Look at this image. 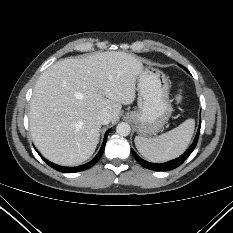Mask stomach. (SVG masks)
Segmentation results:
<instances>
[{"label": "stomach", "mask_w": 233, "mask_h": 233, "mask_svg": "<svg viewBox=\"0 0 233 233\" xmlns=\"http://www.w3.org/2000/svg\"><path fill=\"white\" fill-rule=\"evenodd\" d=\"M138 108L127 113L141 137L158 133L172 114L169 83L165 74L151 65L137 76Z\"/></svg>", "instance_id": "1"}]
</instances>
